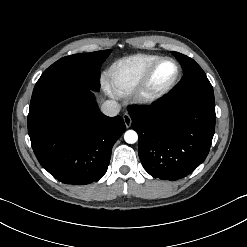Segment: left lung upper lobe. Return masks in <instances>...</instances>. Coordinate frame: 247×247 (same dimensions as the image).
Listing matches in <instances>:
<instances>
[{"mask_svg":"<svg viewBox=\"0 0 247 247\" xmlns=\"http://www.w3.org/2000/svg\"><path fill=\"white\" fill-rule=\"evenodd\" d=\"M172 54L177 57L184 69V77L170 94L172 98L195 94H214L205 72L192 58L178 52H172Z\"/></svg>","mask_w":247,"mask_h":247,"instance_id":"5c2ea615","label":"left lung upper lobe"}]
</instances>
